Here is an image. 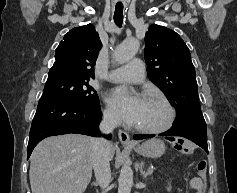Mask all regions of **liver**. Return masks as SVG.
<instances>
[{
	"label": "liver",
	"mask_w": 237,
	"mask_h": 193,
	"mask_svg": "<svg viewBox=\"0 0 237 193\" xmlns=\"http://www.w3.org/2000/svg\"><path fill=\"white\" fill-rule=\"evenodd\" d=\"M94 138L80 134L52 136L31 155L32 193H84L93 169ZM115 148L111 145L110 160Z\"/></svg>",
	"instance_id": "obj_1"
}]
</instances>
